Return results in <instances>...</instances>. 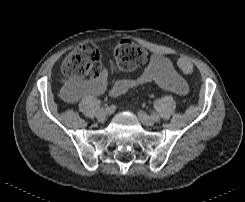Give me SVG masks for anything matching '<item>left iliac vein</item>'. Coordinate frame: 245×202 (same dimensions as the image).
<instances>
[{
  "label": "left iliac vein",
  "instance_id": "1",
  "mask_svg": "<svg viewBox=\"0 0 245 202\" xmlns=\"http://www.w3.org/2000/svg\"><path fill=\"white\" fill-rule=\"evenodd\" d=\"M138 117L140 121L146 126H152L155 124V119L147 115L144 111H138Z\"/></svg>",
  "mask_w": 245,
  "mask_h": 202
}]
</instances>
